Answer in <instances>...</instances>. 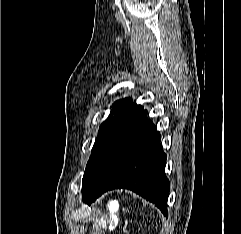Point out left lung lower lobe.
I'll use <instances>...</instances> for the list:
<instances>
[{
    "label": "left lung lower lobe",
    "mask_w": 241,
    "mask_h": 234,
    "mask_svg": "<svg viewBox=\"0 0 241 234\" xmlns=\"http://www.w3.org/2000/svg\"><path fill=\"white\" fill-rule=\"evenodd\" d=\"M138 106L129 116L109 148L90 183L84 202L90 204L106 191L130 189L154 203L165 216L170 190L165 175L166 155L161 136Z\"/></svg>",
    "instance_id": "0a47b994"
}]
</instances>
